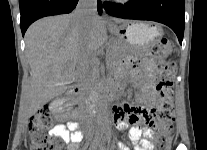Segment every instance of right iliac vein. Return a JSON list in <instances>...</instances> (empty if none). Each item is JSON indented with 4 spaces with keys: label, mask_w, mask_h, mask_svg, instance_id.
Wrapping results in <instances>:
<instances>
[{
    "label": "right iliac vein",
    "mask_w": 207,
    "mask_h": 150,
    "mask_svg": "<svg viewBox=\"0 0 207 150\" xmlns=\"http://www.w3.org/2000/svg\"><path fill=\"white\" fill-rule=\"evenodd\" d=\"M95 147H96V145L93 144L92 147H91V150H95Z\"/></svg>",
    "instance_id": "63e3f726"
}]
</instances>
